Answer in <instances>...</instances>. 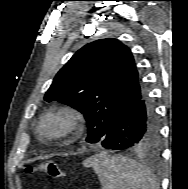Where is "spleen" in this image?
<instances>
[{"instance_id":"3e777b00","label":"spleen","mask_w":188,"mask_h":189,"mask_svg":"<svg viewBox=\"0 0 188 189\" xmlns=\"http://www.w3.org/2000/svg\"><path fill=\"white\" fill-rule=\"evenodd\" d=\"M98 175L102 189H156V180L140 163L121 155L100 152L84 160Z\"/></svg>"}]
</instances>
